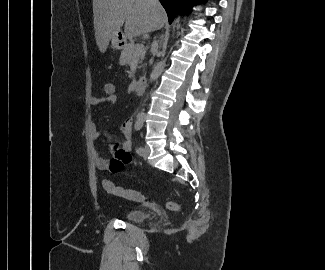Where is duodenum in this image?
I'll list each match as a JSON object with an SVG mask.
<instances>
[{
    "mask_svg": "<svg viewBox=\"0 0 325 270\" xmlns=\"http://www.w3.org/2000/svg\"><path fill=\"white\" fill-rule=\"evenodd\" d=\"M147 84H148V80L145 77H140L136 82L135 94L141 95L146 89Z\"/></svg>",
    "mask_w": 325,
    "mask_h": 270,
    "instance_id": "410a0bca",
    "label": "duodenum"
}]
</instances>
